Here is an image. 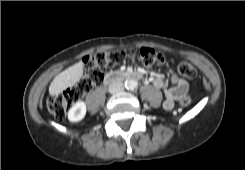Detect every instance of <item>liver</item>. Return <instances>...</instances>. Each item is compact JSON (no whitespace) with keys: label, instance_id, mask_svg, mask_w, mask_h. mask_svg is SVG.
Returning <instances> with one entry per match:
<instances>
[{"label":"liver","instance_id":"6515ba94","mask_svg":"<svg viewBox=\"0 0 245 170\" xmlns=\"http://www.w3.org/2000/svg\"><path fill=\"white\" fill-rule=\"evenodd\" d=\"M83 76V63L78 62L58 74L50 84L49 94L58 95L65 89L74 86Z\"/></svg>","mask_w":245,"mask_h":170}]
</instances>
